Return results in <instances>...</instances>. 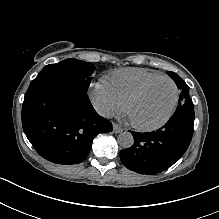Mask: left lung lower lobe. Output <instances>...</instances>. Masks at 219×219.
I'll list each match as a JSON object with an SVG mask.
<instances>
[{
  "instance_id": "obj_1",
  "label": "left lung lower lobe",
  "mask_w": 219,
  "mask_h": 219,
  "mask_svg": "<svg viewBox=\"0 0 219 219\" xmlns=\"http://www.w3.org/2000/svg\"><path fill=\"white\" fill-rule=\"evenodd\" d=\"M193 108L178 109L160 129L132 132L134 144L120 151L121 162L140 174L160 173L186 152L193 136Z\"/></svg>"
}]
</instances>
